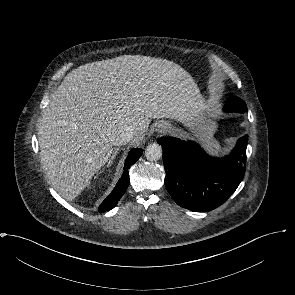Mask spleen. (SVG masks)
Masks as SVG:
<instances>
[{
	"label": "spleen",
	"instance_id": "obj_1",
	"mask_svg": "<svg viewBox=\"0 0 295 295\" xmlns=\"http://www.w3.org/2000/svg\"><path fill=\"white\" fill-rule=\"evenodd\" d=\"M202 144L213 155H219L222 152L220 143L214 140L211 136H206L202 139Z\"/></svg>",
	"mask_w": 295,
	"mask_h": 295
}]
</instances>
